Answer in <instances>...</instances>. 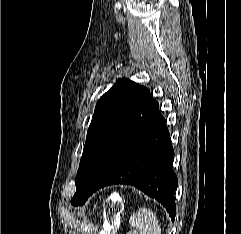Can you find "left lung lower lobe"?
Segmentation results:
<instances>
[{
	"mask_svg": "<svg viewBox=\"0 0 241 234\" xmlns=\"http://www.w3.org/2000/svg\"><path fill=\"white\" fill-rule=\"evenodd\" d=\"M174 151L159 104L147 91L128 116L93 176L83 204L95 191L130 184L157 199L175 219Z\"/></svg>",
	"mask_w": 241,
	"mask_h": 234,
	"instance_id": "left-lung-lower-lobe-1",
	"label": "left lung lower lobe"
}]
</instances>
